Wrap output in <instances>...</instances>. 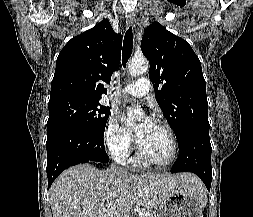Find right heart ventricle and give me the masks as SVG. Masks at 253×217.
Here are the masks:
<instances>
[{
    "mask_svg": "<svg viewBox=\"0 0 253 217\" xmlns=\"http://www.w3.org/2000/svg\"><path fill=\"white\" fill-rule=\"evenodd\" d=\"M133 161H134L133 159L130 160V162H133Z\"/></svg>",
    "mask_w": 253,
    "mask_h": 217,
    "instance_id": "e07e8e85",
    "label": "right heart ventricle"
}]
</instances>
